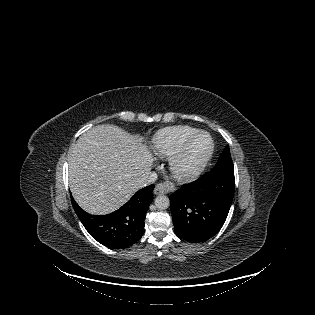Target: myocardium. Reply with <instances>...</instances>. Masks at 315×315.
Here are the masks:
<instances>
[{
	"instance_id": "myocardium-1",
	"label": "myocardium",
	"mask_w": 315,
	"mask_h": 315,
	"mask_svg": "<svg viewBox=\"0 0 315 315\" xmlns=\"http://www.w3.org/2000/svg\"><path fill=\"white\" fill-rule=\"evenodd\" d=\"M206 136L209 141L208 148L204 155L194 164L187 165L185 160L189 153L190 147L194 140L199 136ZM214 151V142L211 135L206 132L199 130L189 136L184 143L180 146V148L171 155L169 159V168L175 178L181 181H189L196 177H198L207 167L212 154Z\"/></svg>"
}]
</instances>
